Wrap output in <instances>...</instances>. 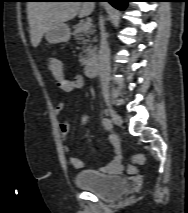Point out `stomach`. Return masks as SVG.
Listing matches in <instances>:
<instances>
[{
    "label": "stomach",
    "mask_w": 188,
    "mask_h": 213,
    "mask_svg": "<svg viewBox=\"0 0 188 213\" xmlns=\"http://www.w3.org/2000/svg\"><path fill=\"white\" fill-rule=\"evenodd\" d=\"M45 38L50 44L67 42L70 39V29L65 23L53 25L45 31Z\"/></svg>",
    "instance_id": "obj_1"
}]
</instances>
